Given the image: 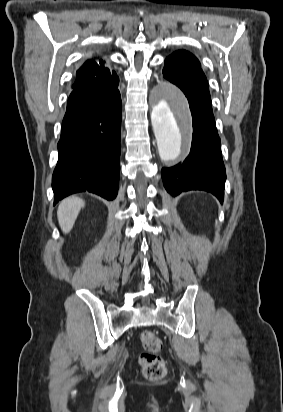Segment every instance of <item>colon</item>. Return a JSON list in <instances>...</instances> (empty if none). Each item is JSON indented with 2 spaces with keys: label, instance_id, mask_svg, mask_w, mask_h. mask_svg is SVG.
Segmentation results:
<instances>
[{
  "label": "colon",
  "instance_id": "5ec220e1",
  "mask_svg": "<svg viewBox=\"0 0 283 412\" xmlns=\"http://www.w3.org/2000/svg\"><path fill=\"white\" fill-rule=\"evenodd\" d=\"M144 351L139 356V365L143 375L152 381L161 380L167 372L166 363L159 355L162 341L151 330H144L139 336Z\"/></svg>",
  "mask_w": 283,
  "mask_h": 412
}]
</instances>
